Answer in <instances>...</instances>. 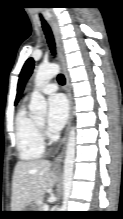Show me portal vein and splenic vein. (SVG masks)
<instances>
[{
	"label": "portal vein and splenic vein",
	"mask_w": 123,
	"mask_h": 219,
	"mask_svg": "<svg viewBox=\"0 0 123 219\" xmlns=\"http://www.w3.org/2000/svg\"><path fill=\"white\" fill-rule=\"evenodd\" d=\"M48 209H49L48 204H44V205H43V210H44V211H48Z\"/></svg>",
	"instance_id": "18ae733b"
}]
</instances>
